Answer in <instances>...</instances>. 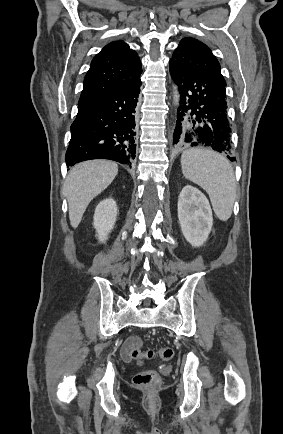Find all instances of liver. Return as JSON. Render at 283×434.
Returning a JSON list of instances; mask_svg holds the SVG:
<instances>
[{
	"mask_svg": "<svg viewBox=\"0 0 283 434\" xmlns=\"http://www.w3.org/2000/svg\"><path fill=\"white\" fill-rule=\"evenodd\" d=\"M118 173V165L105 160H92L74 166L66 178L63 194L68 200L69 219L77 228L93 198L103 192Z\"/></svg>",
	"mask_w": 283,
	"mask_h": 434,
	"instance_id": "6515ba94",
	"label": "liver"
}]
</instances>
